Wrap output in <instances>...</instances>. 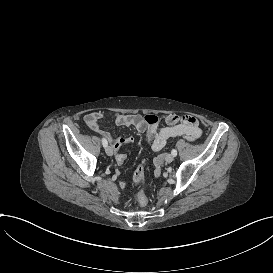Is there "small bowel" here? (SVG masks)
<instances>
[{
  "label": "small bowel",
  "instance_id": "small-bowel-1",
  "mask_svg": "<svg viewBox=\"0 0 273 273\" xmlns=\"http://www.w3.org/2000/svg\"><path fill=\"white\" fill-rule=\"evenodd\" d=\"M103 117L104 115L100 112H92L85 116L84 121L90 130L98 134L111 146L115 154L116 162L121 165L126 161V155L121 153L120 149L123 145L133 143L134 137H113L101 128L100 122ZM113 118L115 124L118 126L134 127L138 132L145 133L152 150L155 152L161 151L172 138L183 137L189 141H194L202 135L198 120L189 115L172 114L165 116L163 117L165 125L162 127H151L146 125L144 117L140 114L116 113ZM166 157L167 154L165 152H161L155 157V169L153 170L155 175L160 173L161 160ZM135 182L142 185L144 180L138 179L135 180ZM124 186L126 188H131L133 186V181L131 179H126L124 181ZM119 187H122V184H119Z\"/></svg>",
  "mask_w": 273,
  "mask_h": 273
}]
</instances>
